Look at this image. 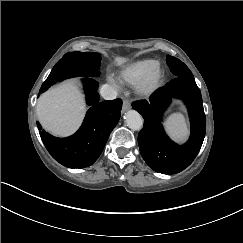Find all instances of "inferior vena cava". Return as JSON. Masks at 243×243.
<instances>
[{
	"label": "inferior vena cava",
	"mask_w": 243,
	"mask_h": 243,
	"mask_svg": "<svg viewBox=\"0 0 243 243\" xmlns=\"http://www.w3.org/2000/svg\"><path fill=\"white\" fill-rule=\"evenodd\" d=\"M100 94L106 100H112L117 97V91L114 89L113 86H111L109 84H104L100 88Z\"/></svg>",
	"instance_id": "obj_1"
}]
</instances>
